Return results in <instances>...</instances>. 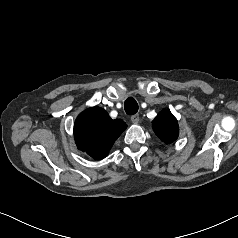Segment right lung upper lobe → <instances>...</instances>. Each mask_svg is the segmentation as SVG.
Instances as JSON below:
<instances>
[{"instance_id":"obj_1","label":"right lung upper lobe","mask_w":238,"mask_h":238,"mask_svg":"<svg viewBox=\"0 0 238 238\" xmlns=\"http://www.w3.org/2000/svg\"><path fill=\"white\" fill-rule=\"evenodd\" d=\"M126 128L121 119L112 120L104 109L92 107L80 113L75 121V142L81 151L101 160Z\"/></svg>"}]
</instances>
